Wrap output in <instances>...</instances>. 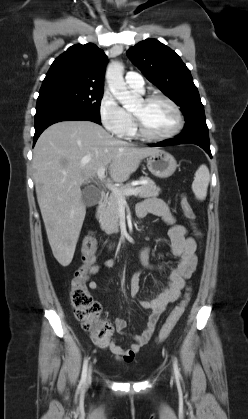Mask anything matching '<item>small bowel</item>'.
<instances>
[{"label": "small bowel", "instance_id": "1", "mask_svg": "<svg viewBox=\"0 0 248 419\" xmlns=\"http://www.w3.org/2000/svg\"><path fill=\"white\" fill-rule=\"evenodd\" d=\"M139 210L140 217L153 214L161 217L168 225V236L172 254L178 259L177 264L171 269L167 286L157 295L140 300L143 309L149 310L143 331L134 336V342L124 349L119 346L114 339H111L104 345H99L101 349L109 350L118 360L130 363L140 349L147 344L151 338L156 324L166 306L177 301L181 291L185 287L186 280L195 272L198 259L196 255L197 244L194 238L188 236L187 228L176 222L168 205L161 199L148 198L141 203ZM150 248L144 247L139 252V260L142 268L134 272L129 282V293L131 297H137L140 292V281L144 270H156L159 267L150 261ZM115 265L113 259H105L100 264H93L89 274L94 275L102 268H112ZM88 286L91 290H96L98 284L96 281H90ZM116 330L123 331L127 322L124 319L117 318L114 321Z\"/></svg>", "mask_w": 248, "mask_h": 419}]
</instances>
